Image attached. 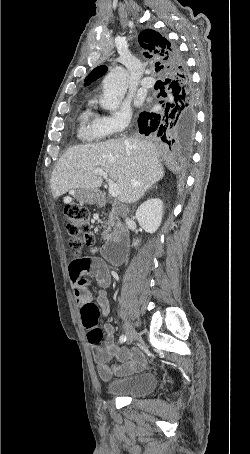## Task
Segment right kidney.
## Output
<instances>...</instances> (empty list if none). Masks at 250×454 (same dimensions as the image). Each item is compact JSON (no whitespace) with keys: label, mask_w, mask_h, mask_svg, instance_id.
<instances>
[{"label":"right kidney","mask_w":250,"mask_h":454,"mask_svg":"<svg viewBox=\"0 0 250 454\" xmlns=\"http://www.w3.org/2000/svg\"><path fill=\"white\" fill-rule=\"evenodd\" d=\"M163 202L158 198H150L142 203L137 211L136 218L140 226L148 233H155L162 222Z\"/></svg>","instance_id":"obj_1"}]
</instances>
